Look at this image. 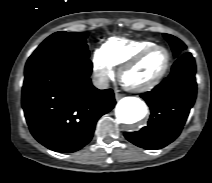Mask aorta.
I'll return each instance as SVG.
<instances>
[{
	"instance_id": "obj_1",
	"label": "aorta",
	"mask_w": 212,
	"mask_h": 183,
	"mask_svg": "<svg viewBox=\"0 0 212 183\" xmlns=\"http://www.w3.org/2000/svg\"><path fill=\"white\" fill-rule=\"evenodd\" d=\"M115 114L120 123L134 124L146 116L147 106L137 97H125L117 104Z\"/></svg>"
}]
</instances>
